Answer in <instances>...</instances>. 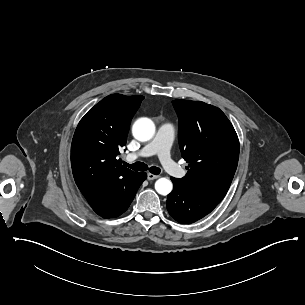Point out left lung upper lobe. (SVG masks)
<instances>
[{
    "mask_svg": "<svg viewBox=\"0 0 305 305\" xmlns=\"http://www.w3.org/2000/svg\"><path fill=\"white\" fill-rule=\"evenodd\" d=\"M179 117V145L189 163L179 179L190 191L224 198L234 177L239 140L225 114L200 101L174 100Z\"/></svg>",
    "mask_w": 305,
    "mask_h": 305,
    "instance_id": "left-lung-upper-lobe-1",
    "label": "left lung upper lobe"
}]
</instances>
